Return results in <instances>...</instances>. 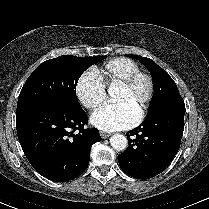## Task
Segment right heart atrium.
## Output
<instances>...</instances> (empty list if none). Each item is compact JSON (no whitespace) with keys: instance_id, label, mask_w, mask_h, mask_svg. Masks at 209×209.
I'll list each match as a JSON object with an SVG mask.
<instances>
[{"instance_id":"obj_1","label":"right heart atrium","mask_w":209,"mask_h":209,"mask_svg":"<svg viewBox=\"0 0 209 209\" xmlns=\"http://www.w3.org/2000/svg\"><path fill=\"white\" fill-rule=\"evenodd\" d=\"M75 91L80 103L89 110L97 109L106 100V87L98 75L91 70L81 74Z\"/></svg>"}]
</instances>
